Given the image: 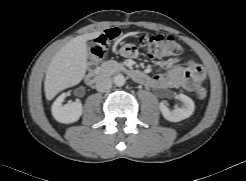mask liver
I'll return each instance as SVG.
<instances>
[{
  "instance_id": "6515ba94",
  "label": "liver",
  "mask_w": 246,
  "mask_h": 181,
  "mask_svg": "<svg viewBox=\"0 0 246 181\" xmlns=\"http://www.w3.org/2000/svg\"><path fill=\"white\" fill-rule=\"evenodd\" d=\"M100 34L92 32L77 36L56 53L47 68L44 82L47 100H52L62 90L81 82L87 69L86 43Z\"/></svg>"
}]
</instances>
